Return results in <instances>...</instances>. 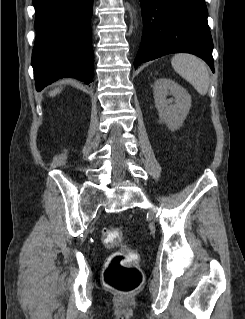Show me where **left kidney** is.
Segmentation results:
<instances>
[{"mask_svg": "<svg viewBox=\"0 0 245 319\" xmlns=\"http://www.w3.org/2000/svg\"><path fill=\"white\" fill-rule=\"evenodd\" d=\"M155 107L162 121L172 131L182 126L191 108V96L172 79H158L153 86ZM172 95L174 99H167ZM174 102V103H173Z\"/></svg>", "mask_w": 245, "mask_h": 319, "instance_id": "left-kidney-1", "label": "left kidney"}]
</instances>
